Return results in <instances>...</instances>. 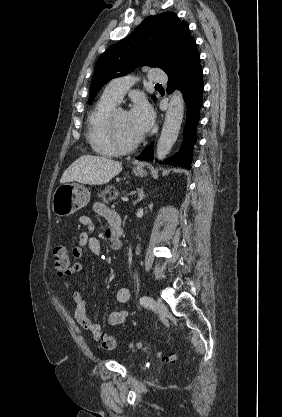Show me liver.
<instances>
[{"mask_svg": "<svg viewBox=\"0 0 282 417\" xmlns=\"http://www.w3.org/2000/svg\"><path fill=\"white\" fill-rule=\"evenodd\" d=\"M122 170V162L108 156L83 154L64 170L60 182H82V184H106Z\"/></svg>", "mask_w": 282, "mask_h": 417, "instance_id": "1", "label": "liver"}]
</instances>
